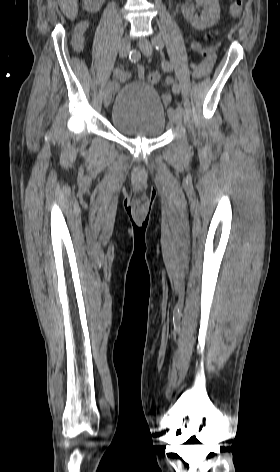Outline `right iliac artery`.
<instances>
[{
	"label": "right iliac artery",
	"instance_id": "82829eb1",
	"mask_svg": "<svg viewBox=\"0 0 280 472\" xmlns=\"http://www.w3.org/2000/svg\"><path fill=\"white\" fill-rule=\"evenodd\" d=\"M141 58V54L139 51H137L136 49H132L129 53V60L130 62L132 63H136L140 60ZM113 74H114V77H116L117 79H120V80H123L126 78V73L121 70L120 68H115L114 71H113Z\"/></svg>",
	"mask_w": 280,
	"mask_h": 472
}]
</instances>
